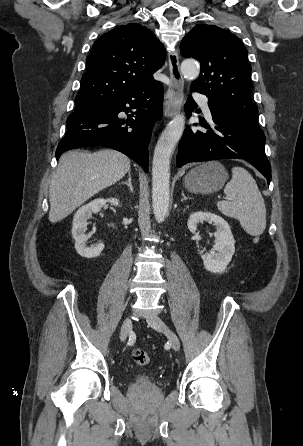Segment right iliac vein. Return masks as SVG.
I'll return each instance as SVG.
<instances>
[{
    "instance_id": "obj_1",
    "label": "right iliac vein",
    "mask_w": 303,
    "mask_h": 446,
    "mask_svg": "<svg viewBox=\"0 0 303 446\" xmlns=\"http://www.w3.org/2000/svg\"><path fill=\"white\" fill-rule=\"evenodd\" d=\"M131 326H132L131 319L129 317L125 318L123 323H122L121 330H120V339H121V341H125L126 340V338L128 336V333H129V331L131 329Z\"/></svg>"
}]
</instances>
